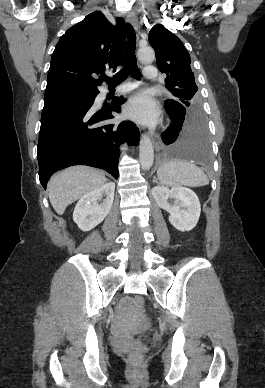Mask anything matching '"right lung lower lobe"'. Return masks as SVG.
I'll return each instance as SVG.
<instances>
[{"mask_svg": "<svg viewBox=\"0 0 265 388\" xmlns=\"http://www.w3.org/2000/svg\"><path fill=\"white\" fill-rule=\"evenodd\" d=\"M94 95L85 103L70 104L42 112L37 158L44 189L50 176L72 165L101 168L118 178L119 145H137L139 129L131 121L108 124L120 113L124 98H114L106 109L94 111Z\"/></svg>", "mask_w": 265, "mask_h": 388, "instance_id": "obj_1", "label": "right lung lower lobe"}]
</instances>
